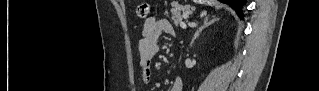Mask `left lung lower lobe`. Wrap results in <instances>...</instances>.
<instances>
[{"mask_svg":"<svg viewBox=\"0 0 319 91\" xmlns=\"http://www.w3.org/2000/svg\"><path fill=\"white\" fill-rule=\"evenodd\" d=\"M219 1L229 4V6L232 7L237 12L238 16L241 19H243L241 7L243 6V4H245V0H219Z\"/></svg>","mask_w":319,"mask_h":91,"instance_id":"obj_1","label":"left lung lower lobe"}]
</instances>
